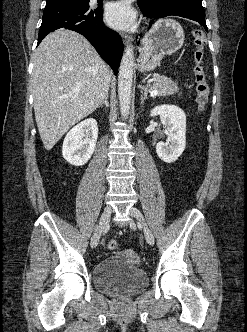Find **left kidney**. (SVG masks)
Listing matches in <instances>:
<instances>
[{"label": "left kidney", "instance_id": "left-kidney-1", "mask_svg": "<svg viewBox=\"0 0 247 332\" xmlns=\"http://www.w3.org/2000/svg\"><path fill=\"white\" fill-rule=\"evenodd\" d=\"M160 116L168 136L167 142H158L156 153L166 162H175L186 147V115L175 105H160L154 107L150 116Z\"/></svg>", "mask_w": 247, "mask_h": 332}]
</instances>
